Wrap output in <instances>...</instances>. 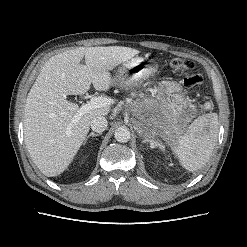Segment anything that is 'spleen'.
I'll list each match as a JSON object with an SVG mask.
<instances>
[{
	"mask_svg": "<svg viewBox=\"0 0 247 247\" xmlns=\"http://www.w3.org/2000/svg\"><path fill=\"white\" fill-rule=\"evenodd\" d=\"M211 108V103L204 105ZM218 137V116L208 113L196 118L187 128L173 147V152L181 165L189 170L196 171L202 168L209 160Z\"/></svg>",
	"mask_w": 247,
	"mask_h": 247,
	"instance_id": "3e777b00",
	"label": "spleen"
}]
</instances>
